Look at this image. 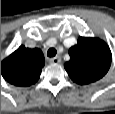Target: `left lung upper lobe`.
<instances>
[{
    "label": "left lung upper lobe",
    "instance_id": "left-lung-upper-lobe-1",
    "mask_svg": "<svg viewBox=\"0 0 115 114\" xmlns=\"http://www.w3.org/2000/svg\"><path fill=\"white\" fill-rule=\"evenodd\" d=\"M70 61L64 67L70 78L80 85L101 79L109 70L112 54L109 46L99 38L79 37L69 49Z\"/></svg>",
    "mask_w": 115,
    "mask_h": 114
}]
</instances>
